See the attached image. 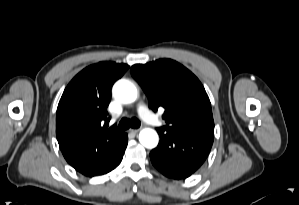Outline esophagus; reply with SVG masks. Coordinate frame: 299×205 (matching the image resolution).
I'll return each mask as SVG.
<instances>
[{"mask_svg": "<svg viewBox=\"0 0 299 205\" xmlns=\"http://www.w3.org/2000/svg\"><path fill=\"white\" fill-rule=\"evenodd\" d=\"M140 131V129H130V132L137 134Z\"/></svg>", "mask_w": 299, "mask_h": 205, "instance_id": "34e87169", "label": "esophagus"}]
</instances>
